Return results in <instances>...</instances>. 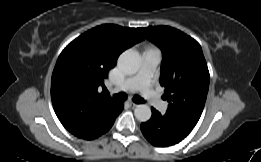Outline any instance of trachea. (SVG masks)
<instances>
[{"label": "trachea", "instance_id": "3493384b", "mask_svg": "<svg viewBox=\"0 0 261 162\" xmlns=\"http://www.w3.org/2000/svg\"><path fill=\"white\" fill-rule=\"evenodd\" d=\"M113 98L116 100V101H125L127 96L125 93H118V94H115L113 95ZM135 103H143L145 102V100L139 96H135L133 97L132 99Z\"/></svg>", "mask_w": 261, "mask_h": 162}]
</instances>
